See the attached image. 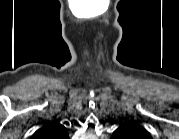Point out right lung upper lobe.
<instances>
[{"instance_id":"right-lung-upper-lobe-1","label":"right lung upper lobe","mask_w":179,"mask_h":139,"mask_svg":"<svg viewBox=\"0 0 179 139\" xmlns=\"http://www.w3.org/2000/svg\"><path fill=\"white\" fill-rule=\"evenodd\" d=\"M33 137L35 139H67L68 134L64 125L53 122L37 130Z\"/></svg>"}]
</instances>
